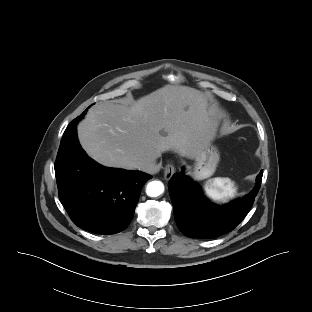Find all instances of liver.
I'll list each match as a JSON object with an SVG mask.
<instances>
[{
	"instance_id": "6515ba94",
	"label": "liver",
	"mask_w": 312,
	"mask_h": 312,
	"mask_svg": "<svg viewBox=\"0 0 312 312\" xmlns=\"http://www.w3.org/2000/svg\"><path fill=\"white\" fill-rule=\"evenodd\" d=\"M208 101L194 88L167 85L130 107L100 102L78 125L79 141L107 167L138 169L143 160L166 151L194 158L216 137L221 119Z\"/></svg>"
}]
</instances>
